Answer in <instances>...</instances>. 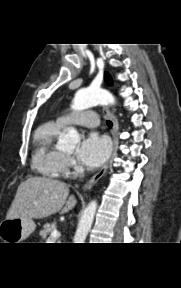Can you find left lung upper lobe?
Wrapping results in <instances>:
<instances>
[{
  "label": "left lung upper lobe",
  "mask_w": 181,
  "mask_h": 288,
  "mask_svg": "<svg viewBox=\"0 0 181 288\" xmlns=\"http://www.w3.org/2000/svg\"><path fill=\"white\" fill-rule=\"evenodd\" d=\"M104 79H105L107 84H112V79L107 72L104 73Z\"/></svg>",
  "instance_id": "obj_1"
}]
</instances>
